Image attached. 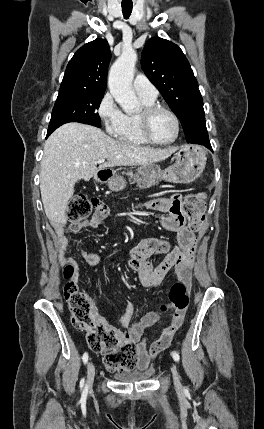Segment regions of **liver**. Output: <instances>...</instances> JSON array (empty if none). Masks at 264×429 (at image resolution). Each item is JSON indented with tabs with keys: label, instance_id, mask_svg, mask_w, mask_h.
<instances>
[{
	"label": "liver",
	"instance_id": "1",
	"mask_svg": "<svg viewBox=\"0 0 264 429\" xmlns=\"http://www.w3.org/2000/svg\"><path fill=\"white\" fill-rule=\"evenodd\" d=\"M176 147L150 148L118 142L94 126L67 123L55 130L44 145L40 190L44 210L51 224H66L65 210L74 194L75 183L113 166L147 165L165 160Z\"/></svg>",
	"mask_w": 264,
	"mask_h": 429
}]
</instances>
